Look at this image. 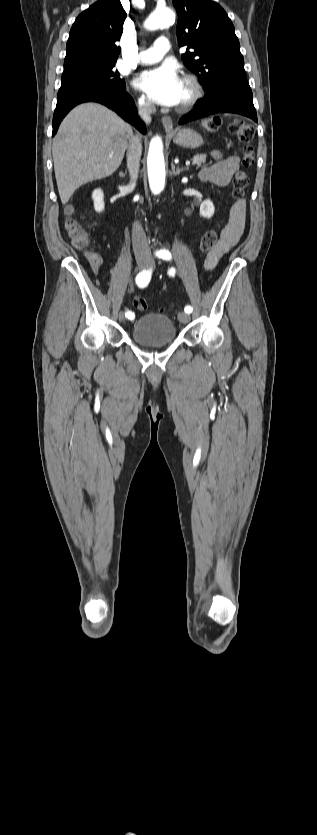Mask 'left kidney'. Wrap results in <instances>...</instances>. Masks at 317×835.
Here are the masks:
<instances>
[{"label":"left kidney","instance_id":"left-kidney-1","mask_svg":"<svg viewBox=\"0 0 317 835\" xmlns=\"http://www.w3.org/2000/svg\"><path fill=\"white\" fill-rule=\"evenodd\" d=\"M215 212L214 205L210 199L204 200L200 205V215L205 218H210Z\"/></svg>","mask_w":317,"mask_h":835}]
</instances>
